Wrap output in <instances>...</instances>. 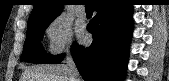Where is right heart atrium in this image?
<instances>
[{
	"label": "right heart atrium",
	"mask_w": 169,
	"mask_h": 81,
	"mask_svg": "<svg viewBox=\"0 0 169 81\" xmlns=\"http://www.w3.org/2000/svg\"><path fill=\"white\" fill-rule=\"evenodd\" d=\"M48 50L54 55L69 53L72 45V29L63 16H55L49 20L45 29Z\"/></svg>",
	"instance_id": "d8ad5b80"
}]
</instances>
